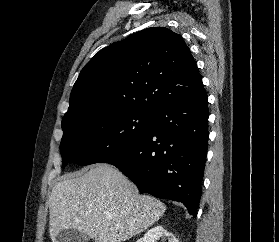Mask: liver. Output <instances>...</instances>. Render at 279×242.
I'll use <instances>...</instances> for the list:
<instances>
[{"label":"liver","mask_w":279,"mask_h":242,"mask_svg":"<svg viewBox=\"0 0 279 242\" xmlns=\"http://www.w3.org/2000/svg\"><path fill=\"white\" fill-rule=\"evenodd\" d=\"M49 202L52 242L64 229L78 230L95 242L126 241L166 210L161 201L140 195L127 177L108 164L65 175L53 187Z\"/></svg>","instance_id":"6515ba94"}]
</instances>
